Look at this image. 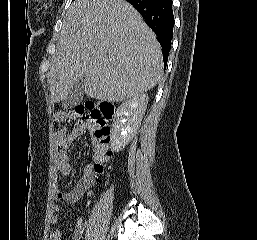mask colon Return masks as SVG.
Listing matches in <instances>:
<instances>
[{"instance_id":"obj_1","label":"colon","mask_w":257,"mask_h":240,"mask_svg":"<svg viewBox=\"0 0 257 240\" xmlns=\"http://www.w3.org/2000/svg\"><path fill=\"white\" fill-rule=\"evenodd\" d=\"M73 114L79 125L91 134L95 153L93 173L98 177L108 170V161L112 154L108 121L112 117L113 108L108 104L87 102L76 107Z\"/></svg>"}]
</instances>
